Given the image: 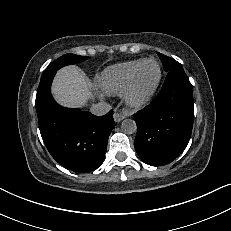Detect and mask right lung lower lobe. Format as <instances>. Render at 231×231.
<instances>
[{
    "instance_id": "98d812e1",
    "label": "right lung lower lobe",
    "mask_w": 231,
    "mask_h": 231,
    "mask_svg": "<svg viewBox=\"0 0 231 231\" xmlns=\"http://www.w3.org/2000/svg\"><path fill=\"white\" fill-rule=\"evenodd\" d=\"M55 73L41 77L37 90L35 106L41 136L60 165L74 172L93 171L102 164L115 127L113 111L95 116L58 105L50 91Z\"/></svg>"
}]
</instances>
